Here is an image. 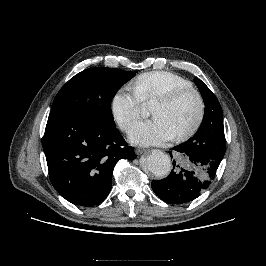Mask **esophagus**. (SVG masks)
<instances>
[{"instance_id":"obj_1","label":"esophagus","mask_w":266,"mask_h":266,"mask_svg":"<svg viewBox=\"0 0 266 266\" xmlns=\"http://www.w3.org/2000/svg\"><path fill=\"white\" fill-rule=\"evenodd\" d=\"M147 150L146 149H144V148H136L135 149V153L137 154V155H141V154H143L144 152H146Z\"/></svg>"}]
</instances>
